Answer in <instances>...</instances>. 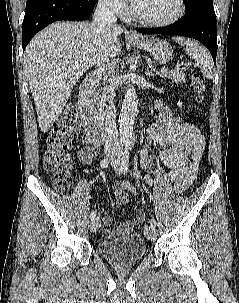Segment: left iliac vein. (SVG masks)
<instances>
[{"label": "left iliac vein", "mask_w": 239, "mask_h": 303, "mask_svg": "<svg viewBox=\"0 0 239 303\" xmlns=\"http://www.w3.org/2000/svg\"><path fill=\"white\" fill-rule=\"evenodd\" d=\"M111 165L112 167L114 168V170L119 173V174H122L125 172V170L123 169L122 167V164L120 163V160L119 158L115 157V158H112L111 160ZM144 234L145 236L151 240V241H154L157 237V230H156V227L154 225H147L145 226L144 228Z\"/></svg>", "instance_id": "obj_1"}]
</instances>
